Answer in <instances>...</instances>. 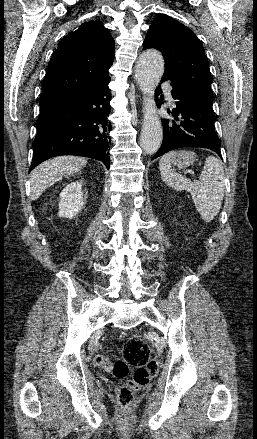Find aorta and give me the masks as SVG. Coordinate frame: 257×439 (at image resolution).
<instances>
[{"label": "aorta", "instance_id": "1", "mask_svg": "<svg viewBox=\"0 0 257 439\" xmlns=\"http://www.w3.org/2000/svg\"><path fill=\"white\" fill-rule=\"evenodd\" d=\"M164 73V60L154 49L144 51L135 66V77L143 93L144 120L140 145L146 154H154L162 142V125L157 114L154 91Z\"/></svg>", "mask_w": 257, "mask_h": 439}]
</instances>
